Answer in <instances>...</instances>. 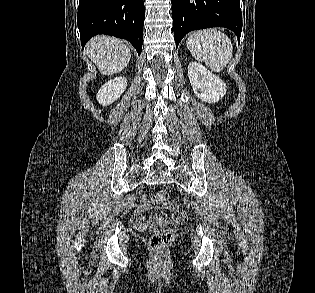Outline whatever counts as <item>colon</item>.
Masks as SVG:
<instances>
[{
    "mask_svg": "<svg viewBox=\"0 0 315 293\" xmlns=\"http://www.w3.org/2000/svg\"><path fill=\"white\" fill-rule=\"evenodd\" d=\"M151 201L157 205H166L169 201L168 193L164 190H158L152 195ZM184 221H186L185 212L181 209H176L173 214V219H165L161 223V230H156L150 237L149 246L151 250L159 256L165 255L177 231L178 224Z\"/></svg>",
    "mask_w": 315,
    "mask_h": 293,
    "instance_id": "obj_1",
    "label": "colon"
}]
</instances>
